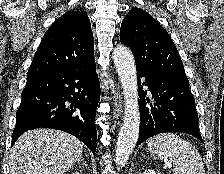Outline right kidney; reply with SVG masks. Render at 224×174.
I'll return each instance as SVG.
<instances>
[{
	"mask_svg": "<svg viewBox=\"0 0 224 174\" xmlns=\"http://www.w3.org/2000/svg\"><path fill=\"white\" fill-rule=\"evenodd\" d=\"M72 174H80V173L76 172V173H72Z\"/></svg>",
	"mask_w": 224,
	"mask_h": 174,
	"instance_id": "obj_1",
	"label": "right kidney"
}]
</instances>
